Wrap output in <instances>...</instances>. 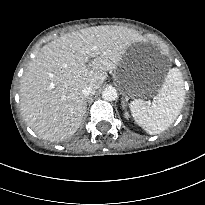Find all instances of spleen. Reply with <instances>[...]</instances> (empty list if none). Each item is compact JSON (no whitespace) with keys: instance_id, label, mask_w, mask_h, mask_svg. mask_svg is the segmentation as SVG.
I'll use <instances>...</instances> for the list:
<instances>
[{"instance_id":"spleen-1","label":"spleen","mask_w":205,"mask_h":205,"mask_svg":"<svg viewBox=\"0 0 205 205\" xmlns=\"http://www.w3.org/2000/svg\"><path fill=\"white\" fill-rule=\"evenodd\" d=\"M185 100L184 81L178 68L169 70L152 103L136 99L130 103L135 122L148 134L166 130L178 117Z\"/></svg>"}]
</instances>
